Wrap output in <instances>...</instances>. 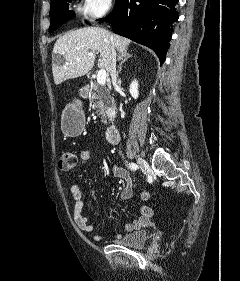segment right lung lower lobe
<instances>
[{"label":"right lung lower lobe","mask_w":240,"mask_h":281,"mask_svg":"<svg viewBox=\"0 0 240 281\" xmlns=\"http://www.w3.org/2000/svg\"><path fill=\"white\" fill-rule=\"evenodd\" d=\"M176 2L178 0H116L114 10L105 21L111 22L114 33L154 50L163 63L170 46V27L179 18Z\"/></svg>","instance_id":"98d812e1"}]
</instances>
